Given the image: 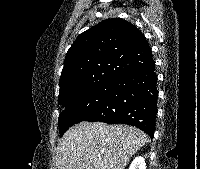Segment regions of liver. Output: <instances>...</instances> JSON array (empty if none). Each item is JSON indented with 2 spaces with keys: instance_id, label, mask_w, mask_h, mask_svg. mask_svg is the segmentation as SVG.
Returning a JSON list of instances; mask_svg holds the SVG:
<instances>
[{
  "instance_id": "6515ba94",
  "label": "liver",
  "mask_w": 200,
  "mask_h": 169,
  "mask_svg": "<svg viewBox=\"0 0 200 169\" xmlns=\"http://www.w3.org/2000/svg\"><path fill=\"white\" fill-rule=\"evenodd\" d=\"M147 142L148 136L133 126L81 122L60 139L55 169H125Z\"/></svg>"
}]
</instances>
